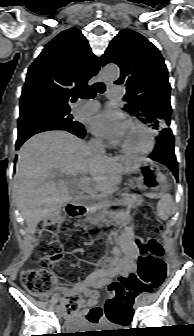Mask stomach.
Returning a JSON list of instances; mask_svg holds the SVG:
<instances>
[{"mask_svg": "<svg viewBox=\"0 0 194 336\" xmlns=\"http://www.w3.org/2000/svg\"><path fill=\"white\" fill-rule=\"evenodd\" d=\"M125 172L138 174L136 178L137 187L146 192L150 198H160L167 190L165 176L159 172L153 162L146 158H137L131 164L124 165ZM134 205L140 203L141 198L133 195L131 199Z\"/></svg>", "mask_w": 194, "mask_h": 336, "instance_id": "1", "label": "stomach"}]
</instances>
